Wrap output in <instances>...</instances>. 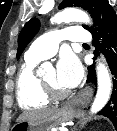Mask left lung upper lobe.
<instances>
[{"instance_id":"1","label":"left lung upper lobe","mask_w":117,"mask_h":131,"mask_svg":"<svg viewBox=\"0 0 117 131\" xmlns=\"http://www.w3.org/2000/svg\"><path fill=\"white\" fill-rule=\"evenodd\" d=\"M107 4L108 0H63L58 8L63 9L65 7L71 6L81 7L91 14V17L94 19V22L96 24L101 11ZM39 27L40 21L37 18H32L25 24L18 36L17 59H19L25 47L36 35V33L39 30ZM84 28L89 29V27L86 25H84Z\"/></svg>"}]
</instances>
